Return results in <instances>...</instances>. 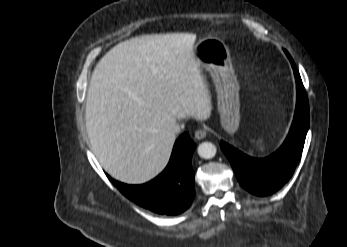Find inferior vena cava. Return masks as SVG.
Masks as SVG:
<instances>
[{"mask_svg":"<svg viewBox=\"0 0 347 247\" xmlns=\"http://www.w3.org/2000/svg\"><path fill=\"white\" fill-rule=\"evenodd\" d=\"M168 130L172 134H178L181 131L180 126L177 123L170 125Z\"/></svg>","mask_w":347,"mask_h":247,"instance_id":"obj_1","label":"inferior vena cava"}]
</instances>
